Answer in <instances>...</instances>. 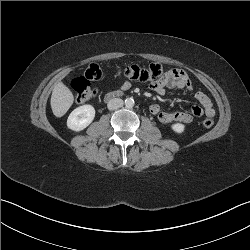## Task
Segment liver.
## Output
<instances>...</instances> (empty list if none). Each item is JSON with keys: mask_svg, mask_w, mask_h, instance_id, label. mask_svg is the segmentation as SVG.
I'll list each match as a JSON object with an SVG mask.
<instances>
[{"mask_svg": "<svg viewBox=\"0 0 250 250\" xmlns=\"http://www.w3.org/2000/svg\"><path fill=\"white\" fill-rule=\"evenodd\" d=\"M73 101L74 96L70 89L64 83L58 82L53 88L50 101L53 114L58 118L62 117L72 106Z\"/></svg>", "mask_w": 250, "mask_h": 250, "instance_id": "liver-1", "label": "liver"}]
</instances>
